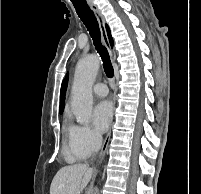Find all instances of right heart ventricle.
Returning a JSON list of instances; mask_svg holds the SVG:
<instances>
[{
    "label": "right heart ventricle",
    "mask_w": 201,
    "mask_h": 194,
    "mask_svg": "<svg viewBox=\"0 0 201 194\" xmlns=\"http://www.w3.org/2000/svg\"><path fill=\"white\" fill-rule=\"evenodd\" d=\"M70 127H71V125H68V126H66V129H65L67 139H68V137H69ZM67 157H68V159H69L70 161H75V160L83 159V157L78 156V155H76V154H74V153H72V152L70 151V149H69V140H68V142H67Z\"/></svg>",
    "instance_id": "1"
}]
</instances>
